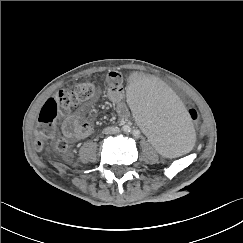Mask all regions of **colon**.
Listing matches in <instances>:
<instances>
[{"label":"colon","instance_id":"5ec220e1","mask_svg":"<svg viewBox=\"0 0 243 243\" xmlns=\"http://www.w3.org/2000/svg\"><path fill=\"white\" fill-rule=\"evenodd\" d=\"M97 93V88L91 82H81L74 87L59 90L54 97L48 99L43 104L38 116V125L35 131L36 148H43L48 141L54 138L56 133L55 121L59 114L67 113L80 102L93 99ZM186 109L193 121L195 132H202L201 116L194 104H187ZM56 147L59 151H66L68 143L60 139L56 142Z\"/></svg>","mask_w":243,"mask_h":243}]
</instances>
